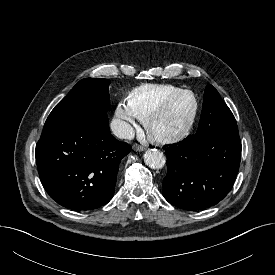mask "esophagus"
I'll list each match as a JSON object with an SVG mask.
<instances>
[{
  "label": "esophagus",
  "mask_w": 275,
  "mask_h": 275,
  "mask_svg": "<svg viewBox=\"0 0 275 275\" xmlns=\"http://www.w3.org/2000/svg\"><path fill=\"white\" fill-rule=\"evenodd\" d=\"M145 149V147L144 146H142V145H140V144H138V143H135L134 145H133V150L134 151H143Z\"/></svg>",
  "instance_id": "34e87169"
}]
</instances>
